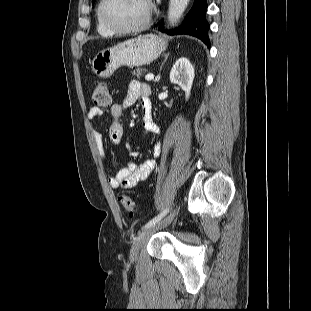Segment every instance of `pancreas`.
I'll list each match as a JSON object with an SVG mask.
<instances>
[{
  "mask_svg": "<svg viewBox=\"0 0 311 311\" xmlns=\"http://www.w3.org/2000/svg\"><path fill=\"white\" fill-rule=\"evenodd\" d=\"M147 70L145 68H136L132 74L136 75L138 78L141 77Z\"/></svg>",
  "mask_w": 311,
  "mask_h": 311,
  "instance_id": "1",
  "label": "pancreas"
}]
</instances>
